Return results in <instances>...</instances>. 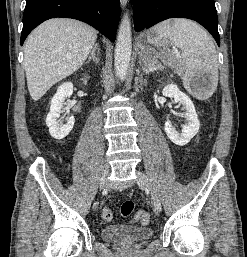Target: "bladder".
<instances>
[{
    "label": "bladder",
    "instance_id": "1",
    "mask_svg": "<svg viewBox=\"0 0 247 257\" xmlns=\"http://www.w3.org/2000/svg\"><path fill=\"white\" fill-rule=\"evenodd\" d=\"M101 236L109 242L123 245H137L151 239L153 230L145 226L108 225L101 229Z\"/></svg>",
    "mask_w": 247,
    "mask_h": 257
}]
</instances>
